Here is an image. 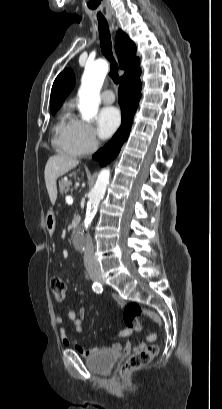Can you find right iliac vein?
<instances>
[{
  "label": "right iliac vein",
  "mask_w": 222,
  "mask_h": 409,
  "mask_svg": "<svg viewBox=\"0 0 222 409\" xmlns=\"http://www.w3.org/2000/svg\"><path fill=\"white\" fill-rule=\"evenodd\" d=\"M92 278L95 281L102 282V278L100 276H98V275H94Z\"/></svg>",
  "instance_id": "right-iliac-vein-1"
}]
</instances>
